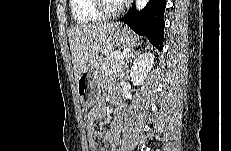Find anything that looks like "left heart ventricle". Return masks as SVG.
Here are the masks:
<instances>
[{
	"label": "left heart ventricle",
	"instance_id": "left-heart-ventricle-1",
	"mask_svg": "<svg viewBox=\"0 0 231 151\" xmlns=\"http://www.w3.org/2000/svg\"><path fill=\"white\" fill-rule=\"evenodd\" d=\"M107 5L110 10H115L119 7L120 3L116 0H107Z\"/></svg>",
	"mask_w": 231,
	"mask_h": 151
}]
</instances>
